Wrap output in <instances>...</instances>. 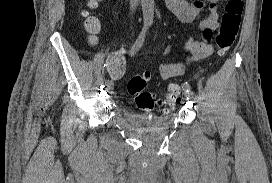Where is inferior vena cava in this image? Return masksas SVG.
Masks as SVG:
<instances>
[{
	"label": "inferior vena cava",
	"mask_w": 272,
	"mask_h": 183,
	"mask_svg": "<svg viewBox=\"0 0 272 183\" xmlns=\"http://www.w3.org/2000/svg\"><path fill=\"white\" fill-rule=\"evenodd\" d=\"M139 0H130V9L131 11H134L136 6L138 5Z\"/></svg>",
	"instance_id": "inferior-vena-cava-1"
}]
</instances>
